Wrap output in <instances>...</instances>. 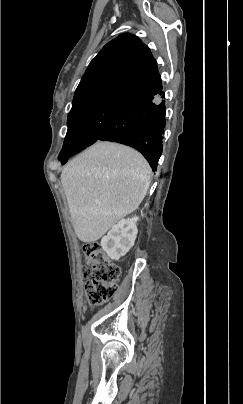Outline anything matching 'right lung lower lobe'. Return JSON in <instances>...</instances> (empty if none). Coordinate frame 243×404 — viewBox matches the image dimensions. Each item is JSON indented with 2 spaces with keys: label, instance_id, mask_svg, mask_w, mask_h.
Listing matches in <instances>:
<instances>
[{
  "label": "right lung lower lobe",
  "instance_id": "1",
  "mask_svg": "<svg viewBox=\"0 0 243 404\" xmlns=\"http://www.w3.org/2000/svg\"><path fill=\"white\" fill-rule=\"evenodd\" d=\"M163 97L160 90L127 101L97 141L118 142L135 148L156 171L165 127L166 108L164 100H159Z\"/></svg>",
  "mask_w": 243,
  "mask_h": 404
}]
</instances>
